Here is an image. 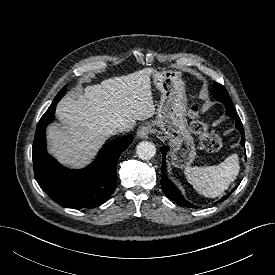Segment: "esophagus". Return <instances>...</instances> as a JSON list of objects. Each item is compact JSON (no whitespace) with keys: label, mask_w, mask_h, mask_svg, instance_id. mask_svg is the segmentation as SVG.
Here are the masks:
<instances>
[{"label":"esophagus","mask_w":275,"mask_h":275,"mask_svg":"<svg viewBox=\"0 0 275 275\" xmlns=\"http://www.w3.org/2000/svg\"><path fill=\"white\" fill-rule=\"evenodd\" d=\"M151 132V127L150 125H142L139 127L138 131H137V136L139 138H142V139H145L148 137V135L150 134Z\"/></svg>","instance_id":"esophagus-1"}]
</instances>
